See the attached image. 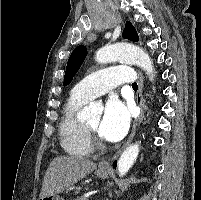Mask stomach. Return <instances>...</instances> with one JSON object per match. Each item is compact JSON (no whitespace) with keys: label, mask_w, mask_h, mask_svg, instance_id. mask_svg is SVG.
Wrapping results in <instances>:
<instances>
[{"label":"stomach","mask_w":201,"mask_h":200,"mask_svg":"<svg viewBox=\"0 0 201 200\" xmlns=\"http://www.w3.org/2000/svg\"><path fill=\"white\" fill-rule=\"evenodd\" d=\"M110 171L109 170H101L98 169L96 171V175L101 178V179H105L107 178V176L109 175ZM40 200H63L62 197H60L59 195H51V196H46V197H42L40 198Z\"/></svg>","instance_id":"0dacf381"}]
</instances>
